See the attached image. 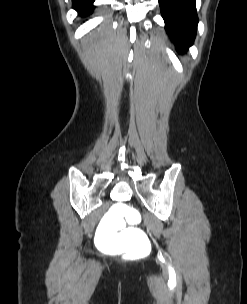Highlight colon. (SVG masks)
I'll return each mask as SVG.
<instances>
[{
  "label": "colon",
  "mask_w": 247,
  "mask_h": 304,
  "mask_svg": "<svg viewBox=\"0 0 247 304\" xmlns=\"http://www.w3.org/2000/svg\"><path fill=\"white\" fill-rule=\"evenodd\" d=\"M141 215L132 202H115L98 222L93 235L100 253H128L129 259H148L152 243L137 225Z\"/></svg>",
  "instance_id": "colon-1"
}]
</instances>
